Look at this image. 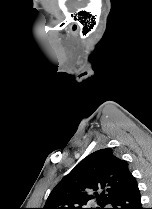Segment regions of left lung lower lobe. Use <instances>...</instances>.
<instances>
[{
  "label": "left lung lower lobe",
  "mask_w": 152,
  "mask_h": 209,
  "mask_svg": "<svg viewBox=\"0 0 152 209\" xmlns=\"http://www.w3.org/2000/svg\"><path fill=\"white\" fill-rule=\"evenodd\" d=\"M111 205V209H142L139 188L132 175Z\"/></svg>",
  "instance_id": "left-lung-lower-lobe-1"
}]
</instances>
